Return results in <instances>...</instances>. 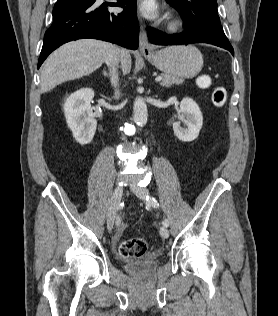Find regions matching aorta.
<instances>
[{"instance_id":"aorta-1","label":"aorta","mask_w":278,"mask_h":316,"mask_svg":"<svg viewBox=\"0 0 278 316\" xmlns=\"http://www.w3.org/2000/svg\"><path fill=\"white\" fill-rule=\"evenodd\" d=\"M133 118L138 126L143 127L148 120V110L146 103L140 97L136 98L133 106Z\"/></svg>"}]
</instances>
